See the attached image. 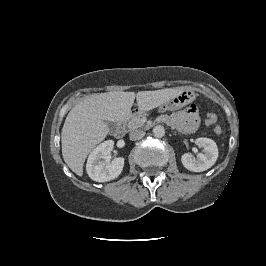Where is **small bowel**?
<instances>
[{"label":"small bowel","instance_id":"small-bowel-1","mask_svg":"<svg viewBox=\"0 0 266 266\" xmlns=\"http://www.w3.org/2000/svg\"><path fill=\"white\" fill-rule=\"evenodd\" d=\"M158 120L183 133H193L199 126L197 107L193 104L170 115H162Z\"/></svg>","mask_w":266,"mask_h":266}]
</instances>
